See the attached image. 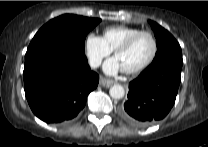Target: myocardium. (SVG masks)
I'll return each instance as SVG.
<instances>
[{"label":"myocardium","mask_w":208,"mask_h":147,"mask_svg":"<svg viewBox=\"0 0 208 147\" xmlns=\"http://www.w3.org/2000/svg\"><path fill=\"white\" fill-rule=\"evenodd\" d=\"M143 35H147L151 38L152 42H153V51L150 55V57L141 65L135 67V68H131V69H122V71L125 74L128 75H133V74H137L143 70H145L146 68H148L155 60L157 54H158V42L157 39L155 37V35L150 32V31H144L141 30L135 34H133L132 36H130L129 38H127L123 43H121L115 50H114V55L116 56L118 53L123 52L127 49H129L131 47V45L140 37Z\"/></svg>","instance_id":"myocardium-1"}]
</instances>
